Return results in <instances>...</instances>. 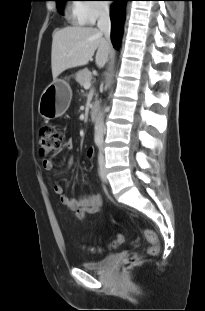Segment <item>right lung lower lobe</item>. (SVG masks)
<instances>
[{"mask_svg":"<svg viewBox=\"0 0 205 311\" xmlns=\"http://www.w3.org/2000/svg\"><path fill=\"white\" fill-rule=\"evenodd\" d=\"M116 1L111 6L110 18H111V40L114 47L117 49L123 22L125 18L126 2L129 0H113Z\"/></svg>","mask_w":205,"mask_h":311,"instance_id":"right-lung-lower-lobe-1","label":"right lung lower lobe"}]
</instances>
